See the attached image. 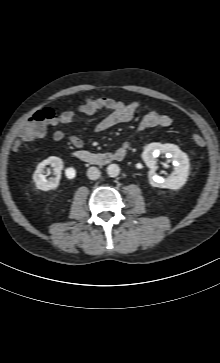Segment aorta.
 <instances>
[{
    "label": "aorta",
    "instance_id": "obj_1",
    "mask_svg": "<svg viewBox=\"0 0 220 363\" xmlns=\"http://www.w3.org/2000/svg\"><path fill=\"white\" fill-rule=\"evenodd\" d=\"M106 171L110 177H116L120 173V168L117 164H110V165H108Z\"/></svg>",
    "mask_w": 220,
    "mask_h": 363
}]
</instances>
